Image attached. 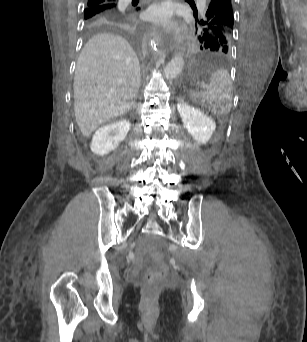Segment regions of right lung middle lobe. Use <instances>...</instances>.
Returning <instances> with one entry per match:
<instances>
[{
    "label": "right lung middle lobe",
    "mask_w": 307,
    "mask_h": 342,
    "mask_svg": "<svg viewBox=\"0 0 307 342\" xmlns=\"http://www.w3.org/2000/svg\"><path fill=\"white\" fill-rule=\"evenodd\" d=\"M94 13V11H92V10H84V18L85 17H88V16H91L92 14Z\"/></svg>",
    "instance_id": "1"
}]
</instances>
